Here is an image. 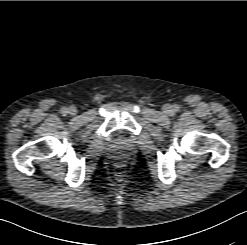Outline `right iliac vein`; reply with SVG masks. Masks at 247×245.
<instances>
[{"mask_svg":"<svg viewBox=\"0 0 247 245\" xmlns=\"http://www.w3.org/2000/svg\"><path fill=\"white\" fill-rule=\"evenodd\" d=\"M68 113H69L70 115H72V116L76 115V114H77V109H76V107H75V106H70V107L68 108Z\"/></svg>","mask_w":247,"mask_h":245,"instance_id":"obj_1","label":"right iliac vein"}]
</instances>
